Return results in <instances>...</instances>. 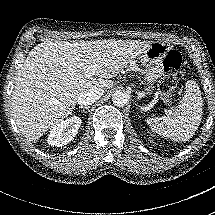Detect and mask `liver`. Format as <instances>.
<instances>
[{
	"label": "liver",
	"instance_id": "6515ba94",
	"mask_svg": "<svg viewBox=\"0 0 215 215\" xmlns=\"http://www.w3.org/2000/svg\"><path fill=\"white\" fill-rule=\"evenodd\" d=\"M150 43L112 38L48 40L34 46L18 70L11 98L19 131L29 141L39 140L73 113L82 93L112 88L111 78L138 59Z\"/></svg>",
	"mask_w": 215,
	"mask_h": 215
}]
</instances>
